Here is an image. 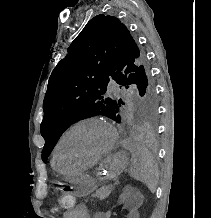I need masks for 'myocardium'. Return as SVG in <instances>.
<instances>
[{"label": "myocardium", "mask_w": 211, "mask_h": 218, "mask_svg": "<svg viewBox=\"0 0 211 218\" xmlns=\"http://www.w3.org/2000/svg\"><path fill=\"white\" fill-rule=\"evenodd\" d=\"M88 123H98V124L103 125L108 130V132L110 134V142L107 145V147L102 152H100L92 161L85 163V164L77 165V168L78 169L89 168V167L95 165L97 162H99L101 159H103L105 156H107L108 154H110L112 152V150L116 146L117 138H118V135H117L115 128L106 119H104L102 117L90 116V117H86V118L78 120L62 134V136L58 140V142L55 146V150H54V159L56 161L59 162V150H60V147H61L63 141L65 140V138L71 132L76 130L77 128H79L85 124H88Z\"/></svg>", "instance_id": "1"}]
</instances>
